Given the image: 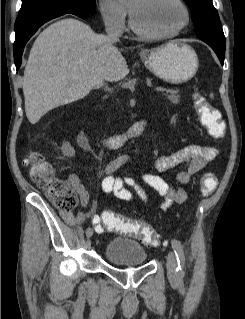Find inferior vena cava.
Masks as SVG:
<instances>
[{"label":"inferior vena cava","instance_id":"inferior-vena-cava-1","mask_svg":"<svg viewBox=\"0 0 245 319\" xmlns=\"http://www.w3.org/2000/svg\"><path fill=\"white\" fill-rule=\"evenodd\" d=\"M106 33H107V37L109 38L110 41H118L119 40V35L115 31V29L112 25H106Z\"/></svg>","mask_w":245,"mask_h":319}]
</instances>
